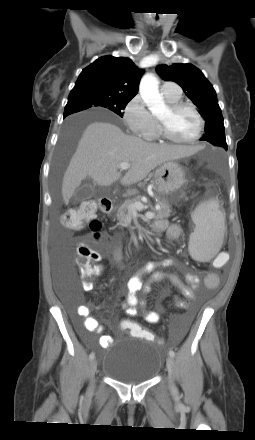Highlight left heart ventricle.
<instances>
[{
  "instance_id": "left-heart-ventricle-1",
  "label": "left heart ventricle",
  "mask_w": 255,
  "mask_h": 440,
  "mask_svg": "<svg viewBox=\"0 0 255 440\" xmlns=\"http://www.w3.org/2000/svg\"><path fill=\"white\" fill-rule=\"evenodd\" d=\"M158 118L167 122L171 134L177 139H189L198 130L197 117L189 109L171 113L170 109L167 108Z\"/></svg>"
}]
</instances>
